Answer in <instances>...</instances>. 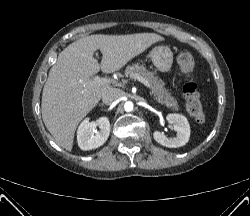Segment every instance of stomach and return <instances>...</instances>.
Returning a JSON list of instances; mask_svg holds the SVG:
<instances>
[{"mask_svg":"<svg viewBox=\"0 0 250 216\" xmlns=\"http://www.w3.org/2000/svg\"><path fill=\"white\" fill-rule=\"evenodd\" d=\"M154 66L160 72H169L173 64V52L166 46L155 47L149 54Z\"/></svg>","mask_w":250,"mask_h":216,"instance_id":"1","label":"stomach"}]
</instances>
